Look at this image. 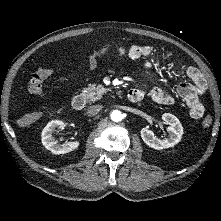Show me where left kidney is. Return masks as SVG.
Listing matches in <instances>:
<instances>
[{
	"mask_svg": "<svg viewBox=\"0 0 221 221\" xmlns=\"http://www.w3.org/2000/svg\"><path fill=\"white\" fill-rule=\"evenodd\" d=\"M162 120L170 125V127H168L169 138L158 139L148 128H143L140 133L142 140L149 147L156 150L173 147L180 142L183 135V127L176 116L165 113L162 115Z\"/></svg>",
	"mask_w": 221,
	"mask_h": 221,
	"instance_id": "1",
	"label": "left kidney"
}]
</instances>
